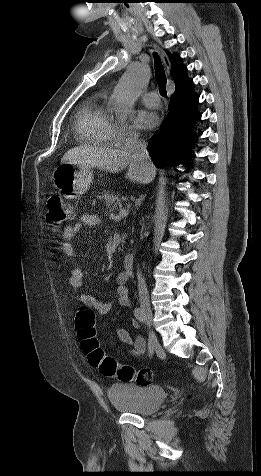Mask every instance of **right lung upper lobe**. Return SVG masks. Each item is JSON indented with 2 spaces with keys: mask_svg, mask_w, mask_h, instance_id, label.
<instances>
[{
  "mask_svg": "<svg viewBox=\"0 0 261 476\" xmlns=\"http://www.w3.org/2000/svg\"><path fill=\"white\" fill-rule=\"evenodd\" d=\"M167 54L171 62V75L174 78L175 88H176V87H179L181 84H183L187 80L185 76L187 68L179 63V60H180L179 56L172 55L168 52Z\"/></svg>",
  "mask_w": 261,
  "mask_h": 476,
  "instance_id": "right-lung-upper-lobe-1",
  "label": "right lung upper lobe"
}]
</instances>
